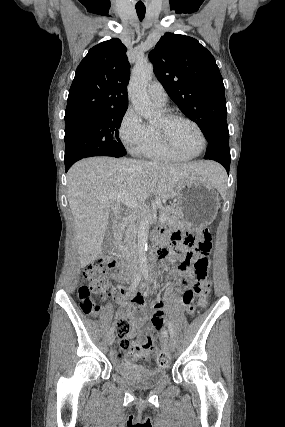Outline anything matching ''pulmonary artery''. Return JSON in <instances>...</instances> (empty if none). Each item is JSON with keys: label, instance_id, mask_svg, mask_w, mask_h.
<instances>
[{"label": "pulmonary artery", "instance_id": "obj_1", "mask_svg": "<svg viewBox=\"0 0 285 427\" xmlns=\"http://www.w3.org/2000/svg\"><path fill=\"white\" fill-rule=\"evenodd\" d=\"M148 95L150 99L159 107H165L167 104L168 96L162 85L154 81L148 86Z\"/></svg>", "mask_w": 285, "mask_h": 427}]
</instances>
